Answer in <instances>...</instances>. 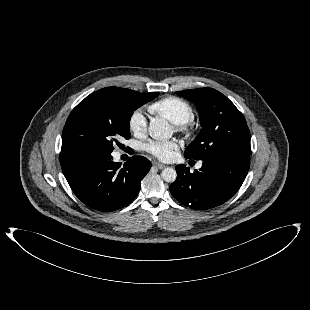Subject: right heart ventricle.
Listing matches in <instances>:
<instances>
[{"mask_svg": "<svg viewBox=\"0 0 310 310\" xmlns=\"http://www.w3.org/2000/svg\"><path fill=\"white\" fill-rule=\"evenodd\" d=\"M149 111L165 117L176 125L190 122L195 116L192 105L177 96H167L155 101L149 106Z\"/></svg>", "mask_w": 310, "mask_h": 310, "instance_id": "obj_1", "label": "right heart ventricle"}]
</instances>
